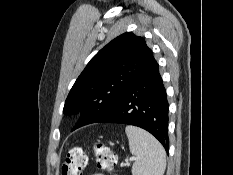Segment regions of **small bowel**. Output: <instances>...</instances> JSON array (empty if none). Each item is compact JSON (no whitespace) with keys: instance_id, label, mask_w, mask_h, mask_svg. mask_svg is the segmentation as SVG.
<instances>
[{"instance_id":"c3829d8e","label":"small bowel","mask_w":233,"mask_h":175,"mask_svg":"<svg viewBox=\"0 0 233 175\" xmlns=\"http://www.w3.org/2000/svg\"><path fill=\"white\" fill-rule=\"evenodd\" d=\"M93 175H104V174H101V173H96V174H93Z\"/></svg>"}]
</instances>
